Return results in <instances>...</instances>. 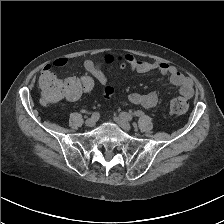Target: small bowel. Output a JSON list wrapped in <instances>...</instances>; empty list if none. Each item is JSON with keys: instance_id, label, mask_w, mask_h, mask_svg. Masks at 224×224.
Returning a JSON list of instances; mask_svg holds the SVG:
<instances>
[{"instance_id": "small-bowel-1", "label": "small bowel", "mask_w": 224, "mask_h": 224, "mask_svg": "<svg viewBox=\"0 0 224 224\" xmlns=\"http://www.w3.org/2000/svg\"><path fill=\"white\" fill-rule=\"evenodd\" d=\"M117 63L120 68H129L130 70L140 73H146L152 70L160 72L163 76H168L170 83L179 88L180 94L185 98H191L194 93L192 81L179 72L174 66L164 62H150L143 59H138L130 54L111 55L104 54L96 60L87 59L84 62L85 70L92 75L101 84L107 83V78L103 73V67L111 63ZM68 63L66 58H58L53 62L55 67H63ZM55 77L52 72V65L47 64L41 71L40 83L47 78ZM129 101L144 108H152L158 102V94L155 91L147 93H131L128 97Z\"/></svg>"}]
</instances>
